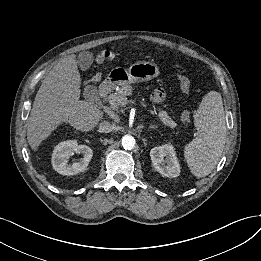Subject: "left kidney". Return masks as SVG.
<instances>
[{
    "mask_svg": "<svg viewBox=\"0 0 261 261\" xmlns=\"http://www.w3.org/2000/svg\"><path fill=\"white\" fill-rule=\"evenodd\" d=\"M150 157L154 168L162 176L171 178L179 176L180 165L172 145L165 144L154 147L150 151Z\"/></svg>",
    "mask_w": 261,
    "mask_h": 261,
    "instance_id": "obj_1",
    "label": "left kidney"
}]
</instances>
